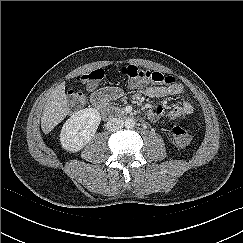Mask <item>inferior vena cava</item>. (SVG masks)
Returning a JSON list of instances; mask_svg holds the SVG:
<instances>
[{
	"instance_id": "inferior-vena-cava-1",
	"label": "inferior vena cava",
	"mask_w": 243,
	"mask_h": 243,
	"mask_svg": "<svg viewBox=\"0 0 243 243\" xmlns=\"http://www.w3.org/2000/svg\"><path fill=\"white\" fill-rule=\"evenodd\" d=\"M123 125H124V122L120 118L111 117L107 121L106 128L110 132H116V131L120 130L123 127Z\"/></svg>"
}]
</instances>
